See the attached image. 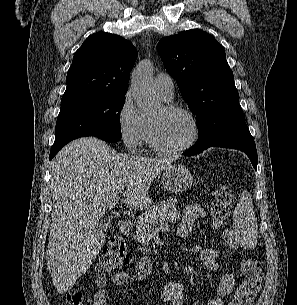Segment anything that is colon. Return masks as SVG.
<instances>
[{
    "label": "colon",
    "instance_id": "colon-1",
    "mask_svg": "<svg viewBox=\"0 0 297 305\" xmlns=\"http://www.w3.org/2000/svg\"><path fill=\"white\" fill-rule=\"evenodd\" d=\"M234 203V196L226 185H222L213 194L211 205V220L214 228H219L230 216ZM127 263L126 243L117 234L110 238L98 263L99 276L111 275ZM244 279L238 285L228 305H251L257 297L262 281L263 272L260 263L255 259L243 262ZM67 305H88L80 290L67 293Z\"/></svg>",
    "mask_w": 297,
    "mask_h": 305
}]
</instances>
